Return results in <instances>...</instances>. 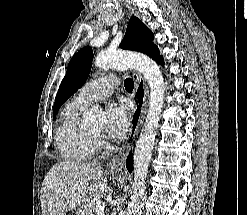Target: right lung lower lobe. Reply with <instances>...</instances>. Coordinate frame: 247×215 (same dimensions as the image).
I'll return each mask as SVG.
<instances>
[{"label":"right lung lower lobe","instance_id":"98d812e1","mask_svg":"<svg viewBox=\"0 0 247 215\" xmlns=\"http://www.w3.org/2000/svg\"><path fill=\"white\" fill-rule=\"evenodd\" d=\"M131 166H132V153L129 154L127 161H126V167L128 171H131Z\"/></svg>","mask_w":247,"mask_h":215}]
</instances>
